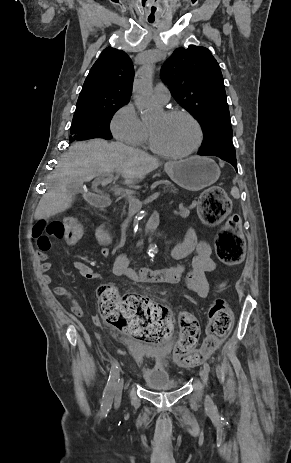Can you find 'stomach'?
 <instances>
[{"instance_id": "1", "label": "stomach", "mask_w": 291, "mask_h": 463, "mask_svg": "<svg viewBox=\"0 0 291 463\" xmlns=\"http://www.w3.org/2000/svg\"><path fill=\"white\" fill-rule=\"evenodd\" d=\"M165 171L180 187L199 191L214 184L220 176V168L208 157L194 156L168 162Z\"/></svg>"}]
</instances>
